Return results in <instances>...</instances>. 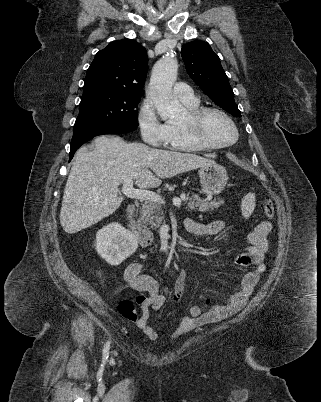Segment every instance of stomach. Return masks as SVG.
<instances>
[{
    "label": "stomach",
    "instance_id": "obj_1",
    "mask_svg": "<svg viewBox=\"0 0 321 402\" xmlns=\"http://www.w3.org/2000/svg\"><path fill=\"white\" fill-rule=\"evenodd\" d=\"M199 178L203 191L209 195H216L224 189L228 175L223 166L212 164L199 169Z\"/></svg>",
    "mask_w": 321,
    "mask_h": 402
}]
</instances>
